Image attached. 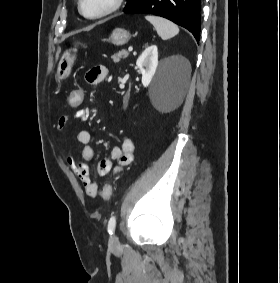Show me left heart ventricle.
Masks as SVG:
<instances>
[{
	"label": "left heart ventricle",
	"instance_id": "obj_1",
	"mask_svg": "<svg viewBox=\"0 0 280 283\" xmlns=\"http://www.w3.org/2000/svg\"><path fill=\"white\" fill-rule=\"evenodd\" d=\"M113 0H83V10L88 15H96L107 9Z\"/></svg>",
	"mask_w": 280,
	"mask_h": 283
}]
</instances>
